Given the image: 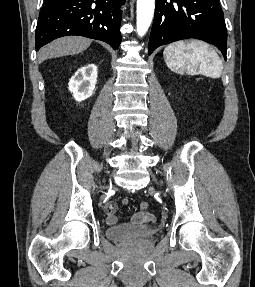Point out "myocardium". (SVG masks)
I'll use <instances>...</instances> for the list:
<instances>
[{
    "mask_svg": "<svg viewBox=\"0 0 255 287\" xmlns=\"http://www.w3.org/2000/svg\"><path fill=\"white\" fill-rule=\"evenodd\" d=\"M148 48H166V47H148Z\"/></svg>",
    "mask_w": 255,
    "mask_h": 287,
    "instance_id": "f54148a6",
    "label": "myocardium"
}]
</instances>
